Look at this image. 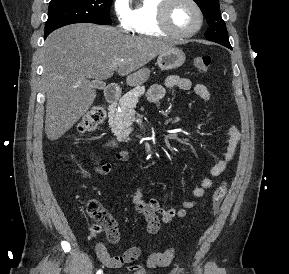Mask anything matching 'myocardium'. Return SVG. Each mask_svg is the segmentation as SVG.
<instances>
[{"label":"myocardium","mask_w":289,"mask_h":274,"mask_svg":"<svg viewBox=\"0 0 289 274\" xmlns=\"http://www.w3.org/2000/svg\"><path fill=\"white\" fill-rule=\"evenodd\" d=\"M176 1L177 0H162L158 10V24L160 28L168 35L176 38H188L197 34L201 30L204 23V13L201 6L196 0H187L195 8L198 14V24L195 28L189 31H178L171 25L170 22V10Z\"/></svg>","instance_id":"obj_1"}]
</instances>
